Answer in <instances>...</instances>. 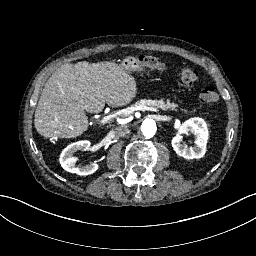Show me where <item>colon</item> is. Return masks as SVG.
<instances>
[{
	"label": "colon",
	"mask_w": 256,
	"mask_h": 256,
	"mask_svg": "<svg viewBox=\"0 0 256 256\" xmlns=\"http://www.w3.org/2000/svg\"><path fill=\"white\" fill-rule=\"evenodd\" d=\"M140 62L152 65L156 71L161 70L164 64L160 62L157 58L149 55L138 56ZM180 83L185 88H191L198 80V72L191 67H182L179 71ZM198 97L200 103L203 105H211L218 101V95L215 89L210 85L202 86L198 91Z\"/></svg>",
	"instance_id": "colon-1"
}]
</instances>
